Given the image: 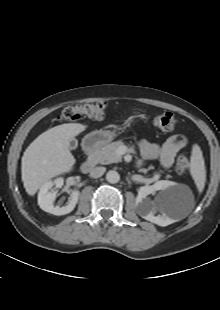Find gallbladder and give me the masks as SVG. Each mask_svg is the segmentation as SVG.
Returning <instances> with one entry per match:
<instances>
[{
    "mask_svg": "<svg viewBox=\"0 0 220 310\" xmlns=\"http://www.w3.org/2000/svg\"><path fill=\"white\" fill-rule=\"evenodd\" d=\"M78 146V141L75 138L70 139L69 141V148L71 150H75Z\"/></svg>",
    "mask_w": 220,
    "mask_h": 310,
    "instance_id": "gallbladder-1",
    "label": "gallbladder"
}]
</instances>
